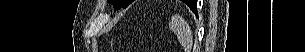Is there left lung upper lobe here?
I'll list each match as a JSON object with an SVG mask.
<instances>
[{
  "label": "left lung upper lobe",
  "mask_w": 305,
  "mask_h": 52,
  "mask_svg": "<svg viewBox=\"0 0 305 52\" xmlns=\"http://www.w3.org/2000/svg\"><path fill=\"white\" fill-rule=\"evenodd\" d=\"M194 0H187V1H184L188 6L191 5L193 3ZM131 0H116L114 1L115 3V8L116 9H119L121 7L123 8H126L129 4H131Z\"/></svg>",
  "instance_id": "1"
}]
</instances>
